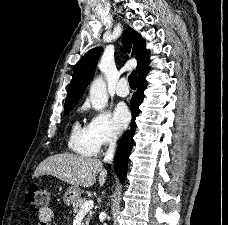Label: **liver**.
<instances>
[{
	"label": "liver",
	"instance_id": "liver-1",
	"mask_svg": "<svg viewBox=\"0 0 228 225\" xmlns=\"http://www.w3.org/2000/svg\"><path fill=\"white\" fill-rule=\"evenodd\" d=\"M100 173L99 183L104 185L107 173L99 159H86L80 155H52L38 165L33 177L52 175L73 187H92Z\"/></svg>",
	"mask_w": 228,
	"mask_h": 225
}]
</instances>
